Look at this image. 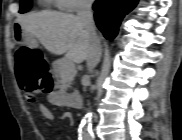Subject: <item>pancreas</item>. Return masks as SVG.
Here are the masks:
<instances>
[{"label": "pancreas", "instance_id": "cf45deb5", "mask_svg": "<svg viewBox=\"0 0 182 140\" xmlns=\"http://www.w3.org/2000/svg\"><path fill=\"white\" fill-rule=\"evenodd\" d=\"M56 79V87L59 93L64 94L71 87V83L76 75L75 65L68 59H59L52 65Z\"/></svg>", "mask_w": 182, "mask_h": 140}]
</instances>
